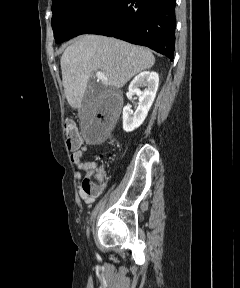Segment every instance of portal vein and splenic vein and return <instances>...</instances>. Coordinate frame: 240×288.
Instances as JSON below:
<instances>
[{
  "mask_svg": "<svg viewBox=\"0 0 240 288\" xmlns=\"http://www.w3.org/2000/svg\"><path fill=\"white\" fill-rule=\"evenodd\" d=\"M96 77H97V79L102 80V81L107 80V78L105 77L104 73H102V72H100V71H98V72L96 73Z\"/></svg>",
  "mask_w": 240,
  "mask_h": 288,
  "instance_id": "obj_1",
  "label": "portal vein and splenic vein"
}]
</instances>
